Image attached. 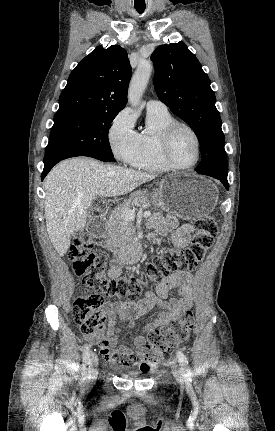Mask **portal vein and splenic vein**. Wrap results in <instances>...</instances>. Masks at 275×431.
<instances>
[{"instance_id": "18ae733b", "label": "portal vein and splenic vein", "mask_w": 275, "mask_h": 431, "mask_svg": "<svg viewBox=\"0 0 275 431\" xmlns=\"http://www.w3.org/2000/svg\"><path fill=\"white\" fill-rule=\"evenodd\" d=\"M104 194H105L104 190H100L98 192V195L101 197L104 196ZM120 214H121V217L124 218L125 220L133 221L135 219V211L132 209L125 208L121 211ZM150 215H151L150 211H145L143 214V216L146 218L149 217Z\"/></svg>"}]
</instances>
